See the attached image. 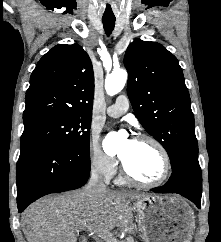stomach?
I'll list each match as a JSON object with an SVG mask.
<instances>
[{
	"label": "stomach",
	"mask_w": 221,
	"mask_h": 242,
	"mask_svg": "<svg viewBox=\"0 0 221 242\" xmlns=\"http://www.w3.org/2000/svg\"><path fill=\"white\" fill-rule=\"evenodd\" d=\"M138 229L144 242H190L195 216L176 195H148L134 203Z\"/></svg>",
	"instance_id": "obj_1"
}]
</instances>
